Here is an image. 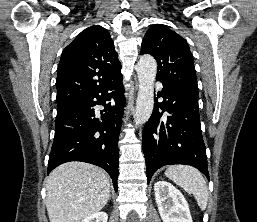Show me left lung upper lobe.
<instances>
[{
	"mask_svg": "<svg viewBox=\"0 0 257 222\" xmlns=\"http://www.w3.org/2000/svg\"><path fill=\"white\" fill-rule=\"evenodd\" d=\"M146 53L157 61V80L198 97L193 56L184 38L163 25H153L142 41L141 54Z\"/></svg>",
	"mask_w": 257,
	"mask_h": 222,
	"instance_id": "left-lung-upper-lobe-1",
	"label": "left lung upper lobe"
}]
</instances>
